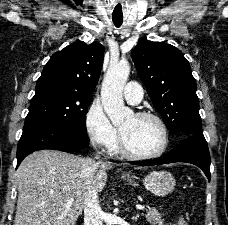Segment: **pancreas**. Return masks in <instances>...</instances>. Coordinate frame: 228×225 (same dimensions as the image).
Segmentation results:
<instances>
[{"label":"pancreas","mask_w":228,"mask_h":225,"mask_svg":"<svg viewBox=\"0 0 228 225\" xmlns=\"http://www.w3.org/2000/svg\"><path fill=\"white\" fill-rule=\"evenodd\" d=\"M146 211V221H148L150 225H163V219L159 211H156V209H146Z\"/></svg>","instance_id":"obj_1"}]
</instances>
